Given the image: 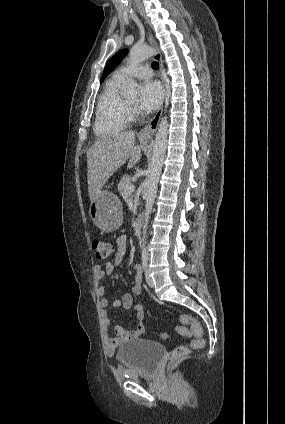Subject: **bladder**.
Returning <instances> with one entry per match:
<instances>
[{
	"label": "bladder",
	"instance_id": "obj_1",
	"mask_svg": "<svg viewBox=\"0 0 285 424\" xmlns=\"http://www.w3.org/2000/svg\"><path fill=\"white\" fill-rule=\"evenodd\" d=\"M164 354L162 344L146 339L129 340L116 350V358L130 377L155 372Z\"/></svg>",
	"mask_w": 285,
	"mask_h": 424
}]
</instances>
